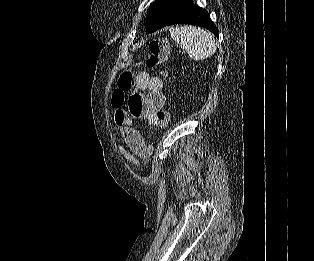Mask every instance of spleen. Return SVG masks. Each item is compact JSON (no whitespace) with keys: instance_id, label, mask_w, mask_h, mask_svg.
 <instances>
[{"instance_id":"3e777b00","label":"spleen","mask_w":314,"mask_h":261,"mask_svg":"<svg viewBox=\"0 0 314 261\" xmlns=\"http://www.w3.org/2000/svg\"><path fill=\"white\" fill-rule=\"evenodd\" d=\"M170 34L194 60L206 59L216 51L217 43L214 36L206 30L192 26L172 27Z\"/></svg>"}]
</instances>
